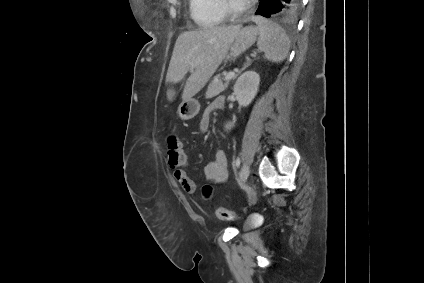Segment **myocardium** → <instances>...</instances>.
I'll list each match as a JSON object with an SVG mask.
<instances>
[{
	"instance_id": "f54148a6",
	"label": "myocardium",
	"mask_w": 424,
	"mask_h": 283,
	"mask_svg": "<svg viewBox=\"0 0 424 283\" xmlns=\"http://www.w3.org/2000/svg\"><path fill=\"white\" fill-rule=\"evenodd\" d=\"M221 5L226 16L229 18H239L244 15L250 8L249 4H244L241 7H235L230 0H221Z\"/></svg>"
}]
</instances>
